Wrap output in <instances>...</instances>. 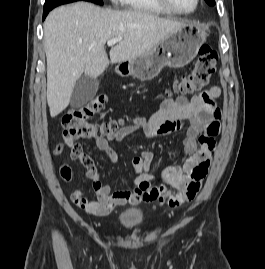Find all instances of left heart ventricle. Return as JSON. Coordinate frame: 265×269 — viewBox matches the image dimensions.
I'll list each match as a JSON object with an SVG mask.
<instances>
[{
	"label": "left heart ventricle",
	"mask_w": 265,
	"mask_h": 269,
	"mask_svg": "<svg viewBox=\"0 0 265 269\" xmlns=\"http://www.w3.org/2000/svg\"><path fill=\"white\" fill-rule=\"evenodd\" d=\"M173 6L181 10H191L195 5V0H169Z\"/></svg>",
	"instance_id": "obj_1"
}]
</instances>
